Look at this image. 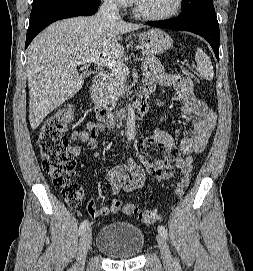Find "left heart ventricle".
I'll use <instances>...</instances> for the list:
<instances>
[{"mask_svg": "<svg viewBox=\"0 0 253 271\" xmlns=\"http://www.w3.org/2000/svg\"><path fill=\"white\" fill-rule=\"evenodd\" d=\"M139 3L145 12L163 15L174 9L176 0H139Z\"/></svg>", "mask_w": 253, "mask_h": 271, "instance_id": "obj_1", "label": "left heart ventricle"}]
</instances>
